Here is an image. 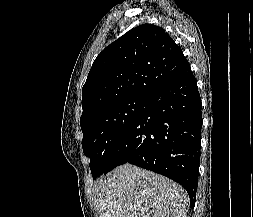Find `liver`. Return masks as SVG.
Masks as SVG:
<instances>
[{
	"label": "liver",
	"instance_id": "obj_1",
	"mask_svg": "<svg viewBox=\"0 0 253 217\" xmlns=\"http://www.w3.org/2000/svg\"><path fill=\"white\" fill-rule=\"evenodd\" d=\"M93 196L97 217H187L184 188L128 163L99 178Z\"/></svg>",
	"mask_w": 253,
	"mask_h": 217
}]
</instances>
